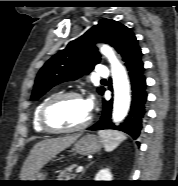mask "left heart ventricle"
I'll use <instances>...</instances> for the list:
<instances>
[{"instance_id": "1", "label": "left heart ventricle", "mask_w": 178, "mask_h": 186, "mask_svg": "<svg viewBox=\"0 0 178 186\" xmlns=\"http://www.w3.org/2000/svg\"><path fill=\"white\" fill-rule=\"evenodd\" d=\"M89 110L84 100L70 97L55 103L48 112L49 123L56 128H72L81 125Z\"/></svg>"}]
</instances>
